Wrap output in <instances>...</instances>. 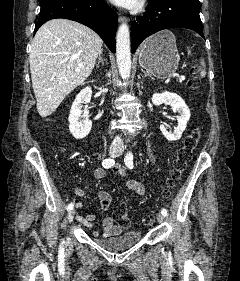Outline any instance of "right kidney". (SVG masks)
Listing matches in <instances>:
<instances>
[{
	"label": "right kidney",
	"instance_id": "right-kidney-1",
	"mask_svg": "<svg viewBox=\"0 0 240 281\" xmlns=\"http://www.w3.org/2000/svg\"><path fill=\"white\" fill-rule=\"evenodd\" d=\"M92 89L91 87H86L80 91L76 96L68 118L70 133L76 139L85 138L92 127V122L89 119L88 103L91 100ZM85 104V106H83ZM84 108V109H83Z\"/></svg>",
	"mask_w": 240,
	"mask_h": 281
}]
</instances>
